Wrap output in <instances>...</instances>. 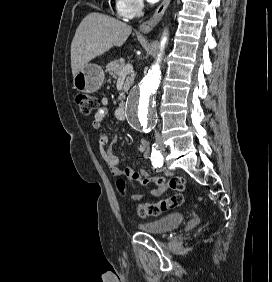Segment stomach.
<instances>
[{
  "label": "stomach",
  "mask_w": 272,
  "mask_h": 282,
  "mask_svg": "<svg viewBox=\"0 0 272 282\" xmlns=\"http://www.w3.org/2000/svg\"><path fill=\"white\" fill-rule=\"evenodd\" d=\"M105 75L101 66L97 64H86L74 76V88L84 93H94L103 84Z\"/></svg>",
  "instance_id": "stomach-1"
}]
</instances>
